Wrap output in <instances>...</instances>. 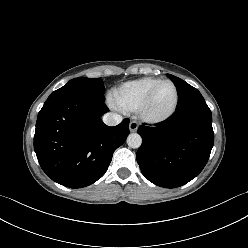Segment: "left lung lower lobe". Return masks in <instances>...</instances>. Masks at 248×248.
I'll return each instance as SVG.
<instances>
[{
	"mask_svg": "<svg viewBox=\"0 0 248 248\" xmlns=\"http://www.w3.org/2000/svg\"><path fill=\"white\" fill-rule=\"evenodd\" d=\"M142 145L137 162L142 174L165 188L180 187L206 165L214 143L212 114L205 100H198L155 127L141 125Z\"/></svg>",
	"mask_w": 248,
	"mask_h": 248,
	"instance_id": "0a47b994",
	"label": "left lung lower lobe"
}]
</instances>
